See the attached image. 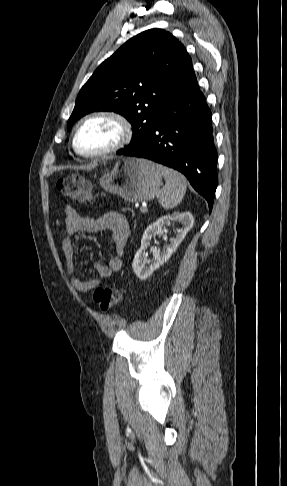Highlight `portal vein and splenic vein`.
Instances as JSON below:
<instances>
[{"mask_svg":"<svg viewBox=\"0 0 287 486\" xmlns=\"http://www.w3.org/2000/svg\"><path fill=\"white\" fill-rule=\"evenodd\" d=\"M140 210L143 213L147 212L148 211L147 205L146 204L142 205V207L140 208Z\"/></svg>","mask_w":287,"mask_h":486,"instance_id":"1","label":"portal vein and splenic vein"}]
</instances>
